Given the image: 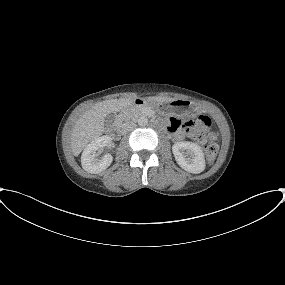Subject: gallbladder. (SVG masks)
<instances>
[{
  "label": "gallbladder",
  "mask_w": 285,
  "mask_h": 285,
  "mask_svg": "<svg viewBox=\"0 0 285 285\" xmlns=\"http://www.w3.org/2000/svg\"><path fill=\"white\" fill-rule=\"evenodd\" d=\"M116 115L114 113H109L105 116L104 123L105 126H111L115 121Z\"/></svg>",
  "instance_id": "bac80fb5"
}]
</instances>
